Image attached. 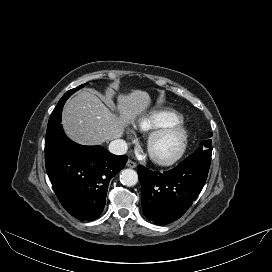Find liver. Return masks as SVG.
I'll return each instance as SVG.
<instances>
[{
	"mask_svg": "<svg viewBox=\"0 0 272 272\" xmlns=\"http://www.w3.org/2000/svg\"><path fill=\"white\" fill-rule=\"evenodd\" d=\"M150 103L151 97L146 91L119 93L117 115L93 93L83 90L65 104L62 126L72 141L81 145H99L120 138L125 128L142 115Z\"/></svg>",
	"mask_w": 272,
	"mask_h": 272,
	"instance_id": "liver-1",
	"label": "liver"
}]
</instances>
